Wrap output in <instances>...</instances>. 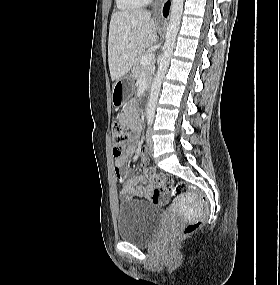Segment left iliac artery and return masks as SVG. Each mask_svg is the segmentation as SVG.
Segmentation results:
<instances>
[{
  "instance_id": "1",
  "label": "left iliac artery",
  "mask_w": 280,
  "mask_h": 285,
  "mask_svg": "<svg viewBox=\"0 0 280 285\" xmlns=\"http://www.w3.org/2000/svg\"><path fill=\"white\" fill-rule=\"evenodd\" d=\"M152 122H153V118H152V117H149V118H148V125H151Z\"/></svg>"
}]
</instances>
